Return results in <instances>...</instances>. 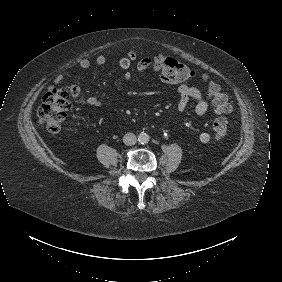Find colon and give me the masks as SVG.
<instances>
[{"mask_svg": "<svg viewBox=\"0 0 282 282\" xmlns=\"http://www.w3.org/2000/svg\"><path fill=\"white\" fill-rule=\"evenodd\" d=\"M155 68L160 71L166 81L174 84H184L195 77V73L184 63L163 55L154 59ZM208 93L213 98L218 111L228 113L232 109L231 102L215 83L207 87ZM77 93L74 90L60 86H51L42 97V102L37 109L39 122L52 134L57 133L65 120L66 112L72 107ZM212 132L217 140L223 139L228 134V122L217 117L212 123Z\"/></svg>", "mask_w": 282, "mask_h": 282, "instance_id": "obj_1", "label": "colon"}]
</instances>
